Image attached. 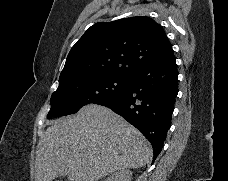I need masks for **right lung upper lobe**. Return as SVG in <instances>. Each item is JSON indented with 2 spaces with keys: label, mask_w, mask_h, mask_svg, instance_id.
Wrapping results in <instances>:
<instances>
[{
  "label": "right lung upper lobe",
  "mask_w": 228,
  "mask_h": 181,
  "mask_svg": "<svg viewBox=\"0 0 228 181\" xmlns=\"http://www.w3.org/2000/svg\"><path fill=\"white\" fill-rule=\"evenodd\" d=\"M172 51L163 28L149 17L99 22L72 47L59 86L109 74L131 77Z\"/></svg>",
  "instance_id": "obj_1"
}]
</instances>
